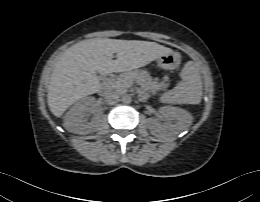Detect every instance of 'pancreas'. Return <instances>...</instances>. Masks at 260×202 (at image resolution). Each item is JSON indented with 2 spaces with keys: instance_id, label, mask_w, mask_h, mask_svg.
Returning <instances> with one entry per match:
<instances>
[{
  "instance_id": "cf45deb5",
  "label": "pancreas",
  "mask_w": 260,
  "mask_h": 202,
  "mask_svg": "<svg viewBox=\"0 0 260 202\" xmlns=\"http://www.w3.org/2000/svg\"><path fill=\"white\" fill-rule=\"evenodd\" d=\"M136 81L143 89L148 92L156 93L159 90H166L167 84L153 80L148 71L135 70L121 74L116 79H108L105 81L107 90L117 93H124Z\"/></svg>"
}]
</instances>
